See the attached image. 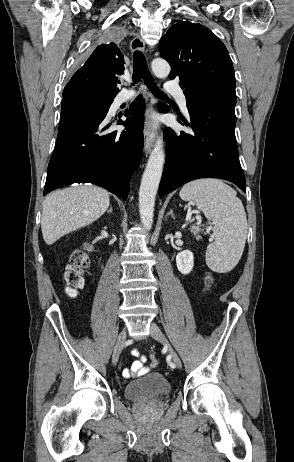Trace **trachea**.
<instances>
[{
  "label": "trachea",
  "instance_id": "1",
  "mask_svg": "<svg viewBox=\"0 0 294 462\" xmlns=\"http://www.w3.org/2000/svg\"><path fill=\"white\" fill-rule=\"evenodd\" d=\"M133 75L134 83H138L141 79L144 80L149 90L160 98H167V96L158 88L155 80L153 79L146 62V58L141 51H135L133 54Z\"/></svg>",
  "mask_w": 294,
  "mask_h": 462
}]
</instances>
